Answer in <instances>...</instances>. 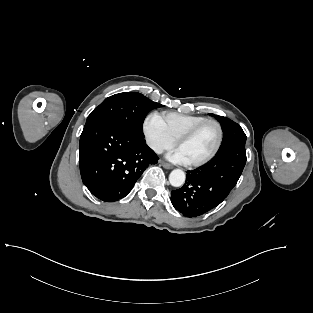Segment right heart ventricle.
Segmentation results:
<instances>
[{
    "label": "right heart ventricle",
    "instance_id": "right-heart-ventricle-1",
    "mask_svg": "<svg viewBox=\"0 0 313 313\" xmlns=\"http://www.w3.org/2000/svg\"><path fill=\"white\" fill-rule=\"evenodd\" d=\"M160 116L165 128L175 141L184 132L207 119L200 115H189L178 112H164Z\"/></svg>",
    "mask_w": 313,
    "mask_h": 313
}]
</instances>
